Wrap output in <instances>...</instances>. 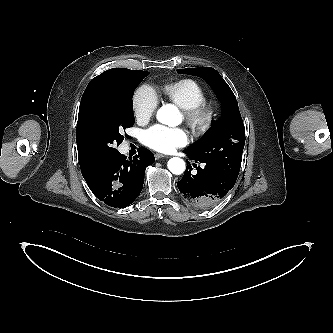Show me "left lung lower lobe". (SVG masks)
Returning a JSON list of instances; mask_svg holds the SVG:
<instances>
[{"label":"left lung lower lobe","mask_w":333,"mask_h":333,"mask_svg":"<svg viewBox=\"0 0 333 333\" xmlns=\"http://www.w3.org/2000/svg\"><path fill=\"white\" fill-rule=\"evenodd\" d=\"M189 159L202 162L205 167H197V173L191 174L192 167L188 162L182 179L177 182L182 199L200 209H210L218 204L232 189L236 180L226 176L221 170L193 157L187 150L183 151Z\"/></svg>","instance_id":"0a47b994"}]
</instances>
